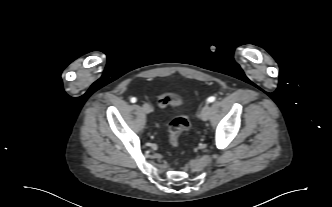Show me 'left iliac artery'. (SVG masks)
I'll return each mask as SVG.
<instances>
[{
	"mask_svg": "<svg viewBox=\"0 0 332 207\" xmlns=\"http://www.w3.org/2000/svg\"><path fill=\"white\" fill-rule=\"evenodd\" d=\"M215 100H216V97L211 96V97H209V98L207 99V102H208V103H212V102H214Z\"/></svg>",
	"mask_w": 332,
	"mask_h": 207,
	"instance_id": "left-iliac-artery-1",
	"label": "left iliac artery"
}]
</instances>
